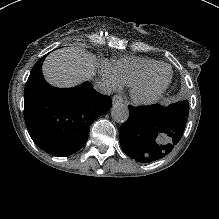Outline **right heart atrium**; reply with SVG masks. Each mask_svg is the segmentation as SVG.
<instances>
[{
  "mask_svg": "<svg viewBox=\"0 0 219 219\" xmlns=\"http://www.w3.org/2000/svg\"><path fill=\"white\" fill-rule=\"evenodd\" d=\"M102 80L113 90L121 88V83L115 78L108 64H104L100 70Z\"/></svg>",
  "mask_w": 219,
  "mask_h": 219,
  "instance_id": "obj_1",
  "label": "right heart atrium"
}]
</instances>
